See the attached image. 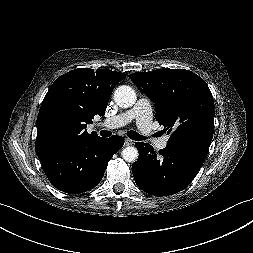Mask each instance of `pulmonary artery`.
Listing matches in <instances>:
<instances>
[{"mask_svg":"<svg viewBox=\"0 0 253 253\" xmlns=\"http://www.w3.org/2000/svg\"><path fill=\"white\" fill-rule=\"evenodd\" d=\"M135 120L139 130L150 139H155L154 143L158 149H165L169 137L156 138L152 131V107L147 99H140L130 110L117 116L104 120L102 125L106 128H117Z\"/></svg>","mask_w":253,"mask_h":253,"instance_id":"e3ab8cb5","label":"pulmonary artery"}]
</instances>
